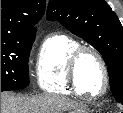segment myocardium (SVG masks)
<instances>
[{"label": "myocardium", "instance_id": "myocardium-1", "mask_svg": "<svg viewBox=\"0 0 123 113\" xmlns=\"http://www.w3.org/2000/svg\"><path fill=\"white\" fill-rule=\"evenodd\" d=\"M87 53H90L93 56H95L96 59L98 60L99 64H100L101 68H102L104 84H103L102 90L97 94H88L85 91H83L81 89L80 82L78 79L79 62L82 59V57ZM68 74H69V78H70V82H71L72 86L76 89V91L80 95L94 99V98H100V97L104 96L106 94V92L108 91V88H109V70H108L107 63H106L103 55L101 54V52L92 46L80 45L73 52V54L71 55L69 62H68Z\"/></svg>", "mask_w": 123, "mask_h": 113}]
</instances>
